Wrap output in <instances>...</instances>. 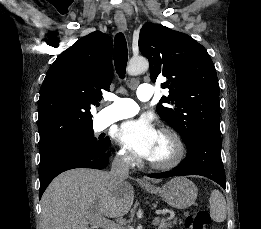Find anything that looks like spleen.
<instances>
[{
  "label": "spleen",
  "instance_id": "obj_1",
  "mask_svg": "<svg viewBox=\"0 0 261 229\" xmlns=\"http://www.w3.org/2000/svg\"><path fill=\"white\" fill-rule=\"evenodd\" d=\"M210 217L216 223H222L227 217V205L225 197L220 191H212L210 195Z\"/></svg>",
  "mask_w": 261,
  "mask_h": 229
}]
</instances>
